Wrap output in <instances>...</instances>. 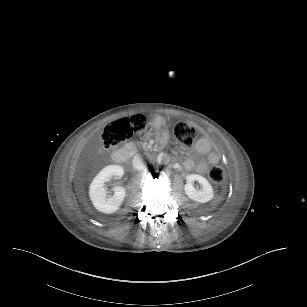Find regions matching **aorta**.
Segmentation results:
<instances>
[{
    "instance_id": "1",
    "label": "aorta",
    "mask_w": 307,
    "mask_h": 307,
    "mask_svg": "<svg viewBox=\"0 0 307 307\" xmlns=\"http://www.w3.org/2000/svg\"><path fill=\"white\" fill-rule=\"evenodd\" d=\"M157 161L159 163H165L167 164L169 162V156L166 153H160L157 156Z\"/></svg>"
}]
</instances>
